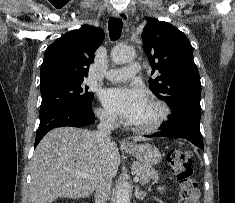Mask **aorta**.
Returning a JSON list of instances; mask_svg holds the SVG:
<instances>
[{
    "label": "aorta",
    "mask_w": 235,
    "mask_h": 203,
    "mask_svg": "<svg viewBox=\"0 0 235 203\" xmlns=\"http://www.w3.org/2000/svg\"><path fill=\"white\" fill-rule=\"evenodd\" d=\"M112 61L118 65L131 62L135 58L133 48L118 44L111 51ZM130 186L128 182H122L117 191L116 203H130Z\"/></svg>",
    "instance_id": "762f6f07"
}]
</instances>
